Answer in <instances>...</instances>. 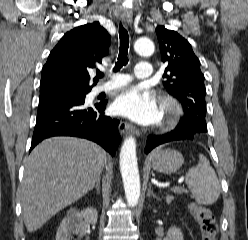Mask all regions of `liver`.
<instances>
[{"instance_id":"obj_1","label":"liver","mask_w":248,"mask_h":240,"mask_svg":"<svg viewBox=\"0 0 248 240\" xmlns=\"http://www.w3.org/2000/svg\"><path fill=\"white\" fill-rule=\"evenodd\" d=\"M106 153L97 144L53 137L37 145L25 162L21 185L24 223L29 232L91 190L103 171Z\"/></svg>"}]
</instances>
